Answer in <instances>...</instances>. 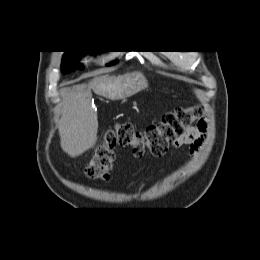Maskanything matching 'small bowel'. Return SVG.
Masks as SVG:
<instances>
[{"instance_id":"c3829d8e","label":"small bowel","mask_w":260,"mask_h":260,"mask_svg":"<svg viewBox=\"0 0 260 260\" xmlns=\"http://www.w3.org/2000/svg\"><path fill=\"white\" fill-rule=\"evenodd\" d=\"M206 132V123L200 121L197 126L189 128L183 136L175 143L176 148L187 147L190 153L197 152L203 141Z\"/></svg>"}]
</instances>
